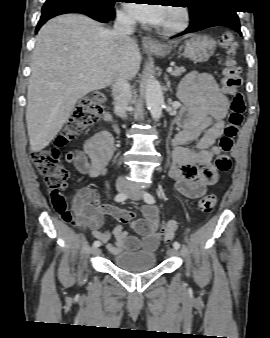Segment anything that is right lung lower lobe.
Wrapping results in <instances>:
<instances>
[{
	"label": "right lung lower lobe",
	"instance_id": "obj_1",
	"mask_svg": "<svg viewBox=\"0 0 270 338\" xmlns=\"http://www.w3.org/2000/svg\"><path fill=\"white\" fill-rule=\"evenodd\" d=\"M81 13L85 14L97 21L107 22L114 16V8L104 7L82 2L75 3H45L42 8V15L36 27V33L40 27L50 18L65 13Z\"/></svg>",
	"mask_w": 270,
	"mask_h": 338
}]
</instances>
